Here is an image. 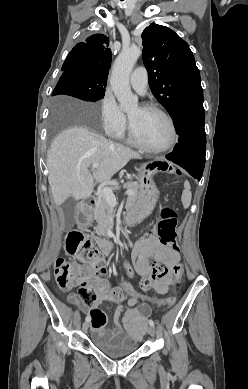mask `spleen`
I'll return each mask as SVG.
<instances>
[{
  "label": "spleen",
  "mask_w": 248,
  "mask_h": 389,
  "mask_svg": "<svg viewBox=\"0 0 248 389\" xmlns=\"http://www.w3.org/2000/svg\"><path fill=\"white\" fill-rule=\"evenodd\" d=\"M191 187L188 181L184 182V190L182 192L181 201L184 208H188L191 204L192 193L190 191Z\"/></svg>",
  "instance_id": "3e777b00"
}]
</instances>
